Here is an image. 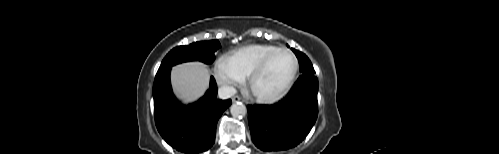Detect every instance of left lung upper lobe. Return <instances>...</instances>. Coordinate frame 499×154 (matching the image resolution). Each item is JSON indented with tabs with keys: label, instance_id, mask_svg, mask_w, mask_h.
<instances>
[{
	"label": "left lung upper lobe",
	"instance_id": "obj_1",
	"mask_svg": "<svg viewBox=\"0 0 499 154\" xmlns=\"http://www.w3.org/2000/svg\"><path fill=\"white\" fill-rule=\"evenodd\" d=\"M293 52L296 54L298 61H299V70L302 74H310V75H315V70L313 68V65L309 58L303 54L302 52H299L295 49H292Z\"/></svg>",
	"mask_w": 499,
	"mask_h": 154
}]
</instances>
